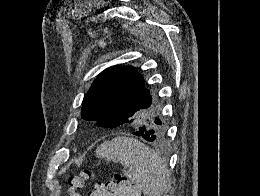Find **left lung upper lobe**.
<instances>
[{
  "label": "left lung upper lobe",
  "mask_w": 260,
  "mask_h": 196,
  "mask_svg": "<svg viewBox=\"0 0 260 196\" xmlns=\"http://www.w3.org/2000/svg\"><path fill=\"white\" fill-rule=\"evenodd\" d=\"M145 81L135 68L113 66L104 70L93 82L82 103L81 116L86 120H97L111 106H127L134 114L121 124L132 131L141 125H148L153 141L163 142L167 138V121L155 95L145 88ZM114 128L117 126H102Z\"/></svg>",
  "instance_id": "1"
}]
</instances>
